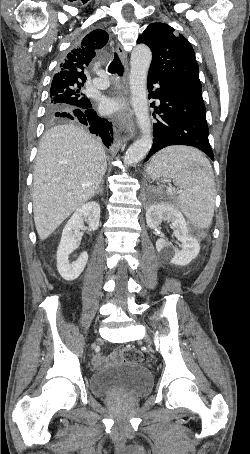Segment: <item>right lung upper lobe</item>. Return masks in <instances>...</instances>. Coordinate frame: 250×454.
Wrapping results in <instances>:
<instances>
[{
  "mask_svg": "<svg viewBox=\"0 0 250 454\" xmlns=\"http://www.w3.org/2000/svg\"><path fill=\"white\" fill-rule=\"evenodd\" d=\"M104 30H94L65 56L59 72L53 77L51 85H79L86 81L85 69L96 55V50L108 42Z\"/></svg>",
  "mask_w": 250,
  "mask_h": 454,
  "instance_id": "obj_1",
  "label": "right lung upper lobe"
}]
</instances>
